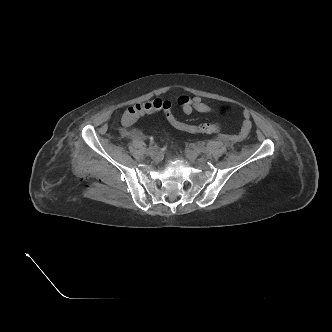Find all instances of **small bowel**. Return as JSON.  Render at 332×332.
I'll return each mask as SVG.
<instances>
[{"instance_id":"small-bowel-1","label":"small bowel","mask_w":332,"mask_h":332,"mask_svg":"<svg viewBox=\"0 0 332 332\" xmlns=\"http://www.w3.org/2000/svg\"><path fill=\"white\" fill-rule=\"evenodd\" d=\"M177 102L181 107V111L185 115H190L193 112L210 113L213 111V108L210 105L206 104L199 96L191 97L187 95H180L177 98ZM242 116L243 120L237 136L238 140L245 139L252 128L250 113L248 111H244Z\"/></svg>"}]
</instances>
